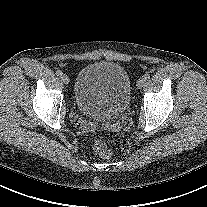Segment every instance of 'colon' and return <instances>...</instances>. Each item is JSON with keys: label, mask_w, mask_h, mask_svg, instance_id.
<instances>
[{"label": "colon", "mask_w": 207, "mask_h": 207, "mask_svg": "<svg viewBox=\"0 0 207 207\" xmlns=\"http://www.w3.org/2000/svg\"><path fill=\"white\" fill-rule=\"evenodd\" d=\"M92 147L96 154L101 158H109L113 152L110 144L101 140H93Z\"/></svg>", "instance_id": "5ec220e1"}]
</instances>
